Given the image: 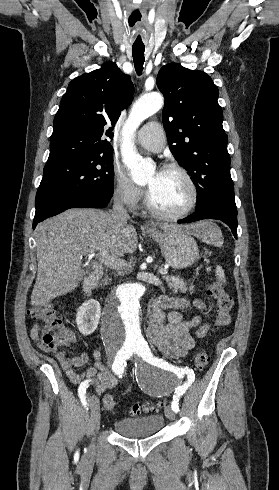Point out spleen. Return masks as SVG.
Wrapping results in <instances>:
<instances>
[{"label":"spleen","instance_id":"3e777b00","mask_svg":"<svg viewBox=\"0 0 279 490\" xmlns=\"http://www.w3.org/2000/svg\"><path fill=\"white\" fill-rule=\"evenodd\" d=\"M200 238L202 242L212 244V246H216V248H221L223 244L222 232L220 228H218L216 224H212V222H209V220H206V222H204V230L202 234H200ZM216 276L218 282H223V284H225V274L221 266H217Z\"/></svg>","mask_w":279,"mask_h":490}]
</instances>
